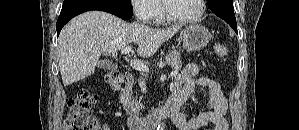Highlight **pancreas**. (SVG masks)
<instances>
[{"mask_svg": "<svg viewBox=\"0 0 299 130\" xmlns=\"http://www.w3.org/2000/svg\"><path fill=\"white\" fill-rule=\"evenodd\" d=\"M166 63L177 70L180 69L182 67L180 52L176 50L168 52V54L166 55ZM130 105L134 112L138 113L140 111L141 104L137 99L131 98Z\"/></svg>", "mask_w": 299, "mask_h": 130, "instance_id": "obj_1", "label": "pancreas"}]
</instances>
